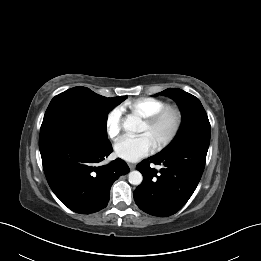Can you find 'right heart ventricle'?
Listing matches in <instances>:
<instances>
[{
  "mask_svg": "<svg viewBox=\"0 0 261 261\" xmlns=\"http://www.w3.org/2000/svg\"><path fill=\"white\" fill-rule=\"evenodd\" d=\"M164 106H166L164 100L153 97L136 98L128 100L123 104V108L128 110L130 114L140 118H146Z\"/></svg>",
  "mask_w": 261,
  "mask_h": 261,
  "instance_id": "right-heart-ventricle-1",
  "label": "right heart ventricle"
}]
</instances>
